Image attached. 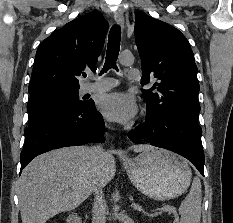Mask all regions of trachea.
Here are the masks:
<instances>
[{
  "instance_id": "obj_1",
  "label": "trachea",
  "mask_w": 233,
  "mask_h": 223,
  "mask_svg": "<svg viewBox=\"0 0 233 223\" xmlns=\"http://www.w3.org/2000/svg\"><path fill=\"white\" fill-rule=\"evenodd\" d=\"M121 28L119 25H113L108 36V45L106 52V60L103 72L109 69H117L116 61L120 50Z\"/></svg>"
}]
</instances>
